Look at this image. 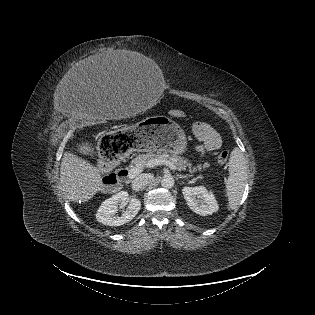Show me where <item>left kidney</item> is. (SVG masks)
Instances as JSON below:
<instances>
[{
  "label": "left kidney",
  "instance_id": "obj_1",
  "mask_svg": "<svg viewBox=\"0 0 315 315\" xmlns=\"http://www.w3.org/2000/svg\"><path fill=\"white\" fill-rule=\"evenodd\" d=\"M182 193L189 208L199 215H212L219 208L214 194L204 186L184 187Z\"/></svg>",
  "mask_w": 315,
  "mask_h": 315
}]
</instances>
